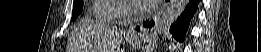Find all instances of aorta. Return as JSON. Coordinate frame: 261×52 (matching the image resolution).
<instances>
[{
    "label": "aorta",
    "instance_id": "obj_1",
    "mask_svg": "<svg viewBox=\"0 0 261 52\" xmlns=\"http://www.w3.org/2000/svg\"><path fill=\"white\" fill-rule=\"evenodd\" d=\"M187 4L188 0H170L156 21L157 29H166L170 26L181 15Z\"/></svg>",
    "mask_w": 261,
    "mask_h": 52
}]
</instances>
